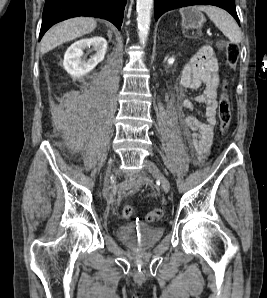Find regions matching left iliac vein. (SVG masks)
Listing matches in <instances>:
<instances>
[{
  "label": "left iliac vein",
  "mask_w": 267,
  "mask_h": 298,
  "mask_svg": "<svg viewBox=\"0 0 267 298\" xmlns=\"http://www.w3.org/2000/svg\"><path fill=\"white\" fill-rule=\"evenodd\" d=\"M144 165L146 169L155 177L157 178L163 190L168 193L170 191V182L167 179V177L160 171L159 167L152 161L145 159L144 160Z\"/></svg>",
  "instance_id": "left-iliac-vein-1"
}]
</instances>
